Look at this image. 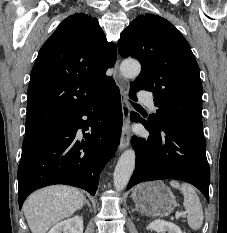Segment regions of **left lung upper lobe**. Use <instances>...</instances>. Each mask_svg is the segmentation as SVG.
<instances>
[{
    "instance_id": "5c2ea615",
    "label": "left lung upper lobe",
    "mask_w": 227,
    "mask_h": 233,
    "mask_svg": "<svg viewBox=\"0 0 227 233\" xmlns=\"http://www.w3.org/2000/svg\"><path fill=\"white\" fill-rule=\"evenodd\" d=\"M118 52L142 64L131 91L153 92L158 109L149 116L151 127L170 122L203 136L199 66L174 25L157 15H139L121 33Z\"/></svg>"
}]
</instances>
